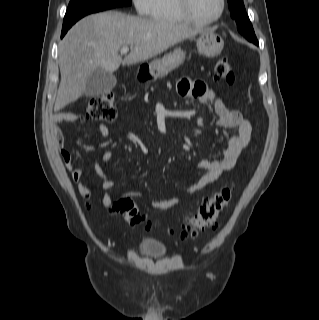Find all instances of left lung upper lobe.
<instances>
[{"instance_id": "1", "label": "left lung upper lobe", "mask_w": 319, "mask_h": 320, "mask_svg": "<svg viewBox=\"0 0 319 320\" xmlns=\"http://www.w3.org/2000/svg\"><path fill=\"white\" fill-rule=\"evenodd\" d=\"M230 14L236 20L237 29L245 38L256 40V36L246 13L243 0H228Z\"/></svg>"}]
</instances>
